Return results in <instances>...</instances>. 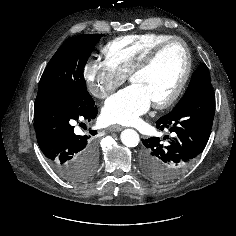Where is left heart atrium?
<instances>
[{"instance_id":"1","label":"left heart atrium","mask_w":236,"mask_h":236,"mask_svg":"<svg viewBox=\"0 0 236 236\" xmlns=\"http://www.w3.org/2000/svg\"><path fill=\"white\" fill-rule=\"evenodd\" d=\"M151 103L147 91L141 85L132 84L106 101L102 119L109 124L131 125L149 109Z\"/></svg>"}]
</instances>
